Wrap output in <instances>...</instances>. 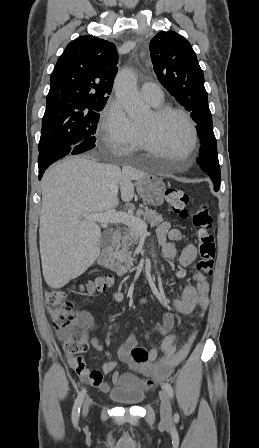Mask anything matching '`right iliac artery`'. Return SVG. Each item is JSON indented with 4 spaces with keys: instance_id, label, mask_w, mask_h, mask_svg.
I'll return each mask as SVG.
<instances>
[{
    "instance_id": "right-iliac-artery-1",
    "label": "right iliac artery",
    "mask_w": 259,
    "mask_h": 448,
    "mask_svg": "<svg viewBox=\"0 0 259 448\" xmlns=\"http://www.w3.org/2000/svg\"><path fill=\"white\" fill-rule=\"evenodd\" d=\"M85 394H86V389H83L79 393L77 399L75 400L73 410H72V420L74 423H77V421L79 419L80 408H81L82 402L84 400Z\"/></svg>"
}]
</instances>
